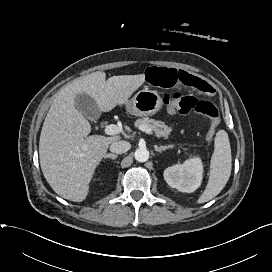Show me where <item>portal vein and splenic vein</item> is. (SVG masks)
<instances>
[{
    "label": "portal vein and splenic vein",
    "mask_w": 272,
    "mask_h": 272,
    "mask_svg": "<svg viewBox=\"0 0 272 272\" xmlns=\"http://www.w3.org/2000/svg\"><path fill=\"white\" fill-rule=\"evenodd\" d=\"M140 130L141 131H143V132H146L147 134H150V135H152L153 133H152V130L150 129V128H148L147 126H141L140 127ZM105 133L107 134V135H116V134H119V132H120V129H119V127L117 126V125H115V124H110V125H107L106 127H105Z\"/></svg>",
    "instance_id": "portal-vein-and-splenic-vein-1"
}]
</instances>
